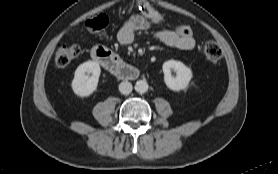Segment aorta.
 Instances as JSON below:
<instances>
[{
  "instance_id": "762f6f07",
  "label": "aorta",
  "mask_w": 278,
  "mask_h": 174,
  "mask_svg": "<svg viewBox=\"0 0 278 174\" xmlns=\"http://www.w3.org/2000/svg\"><path fill=\"white\" fill-rule=\"evenodd\" d=\"M136 92L143 94L148 90V83L146 80H138L135 84Z\"/></svg>"
}]
</instances>
